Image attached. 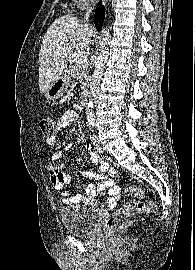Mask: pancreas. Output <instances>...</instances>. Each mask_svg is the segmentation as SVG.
Masks as SVG:
<instances>
[{
    "instance_id": "pancreas-1",
    "label": "pancreas",
    "mask_w": 195,
    "mask_h": 270,
    "mask_svg": "<svg viewBox=\"0 0 195 270\" xmlns=\"http://www.w3.org/2000/svg\"><path fill=\"white\" fill-rule=\"evenodd\" d=\"M69 62V71L71 76L79 79L82 84V88H84L87 82L90 80L88 61H78L76 60L75 56L72 55Z\"/></svg>"
}]
</instances>
